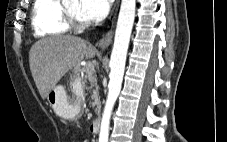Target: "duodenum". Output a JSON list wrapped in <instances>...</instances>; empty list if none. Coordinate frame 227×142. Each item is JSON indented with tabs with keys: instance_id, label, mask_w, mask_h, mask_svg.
<instances>
[{
	"instance_id": "1",
	"label": "duodenum",
	"mask_w": 227,
	"mask_h": 142,
	"mask_svg": "<svg viewBox=\"0 0 227 142\" xmlns=\"http://www.w3.org/2000/svg\"><path fill=\"white\" fill-rule=\"evenodd\" d=\"M99 129H100V119L98 118V119L93 120V122L91 123L90 131L93 134H97L99 132Z\"/></svg>"
}]
</instances>
